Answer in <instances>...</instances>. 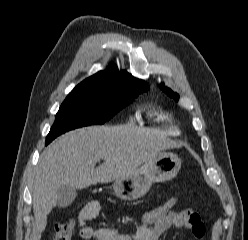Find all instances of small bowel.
I'll return each mask as SVG.
<instances>
[{
  "label": "small bowel",
  "mask_w": 248,
  "mask_h": 240,
  "mask_svg": "<svg viewBox=\"0 0 248 240\" xmlns=\"http://www.w3.org/2000/svg\"><path fill=\"white\" fill-rule=\"evenodd\" d=\"M98 201H90L78 216L79 234L84 240H160L161 236L171 228L186 230L190 236L202 240L206 228L199 214L186 208L172 211L165 217L146 225L137 227L131 233H120L109 228H93L87 225L89 220L101 213Z\"/></svg>",
  "instance_id": "obj_1"
}]
</instances>
